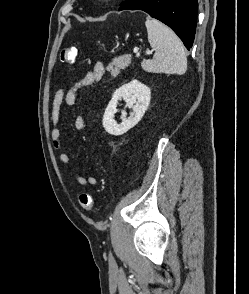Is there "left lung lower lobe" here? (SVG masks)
Wrapping results in <instances>:
<instances>
[{"instance_id": "0a47b994", "label": "left lung lower lobe", "mask_w": 249, "mask_h": 294, "mask_svg": "<svg viewBox=\"0 0 249 294\" xmlns=\"http://www.w3.org/2000/svg\"><path fill=\"white\" fill-rule=\"evenodd\" d=\"M121 10H143L168 25L190 49L196 31L197 0H127Z\"/></svg>"}]
</instances>
